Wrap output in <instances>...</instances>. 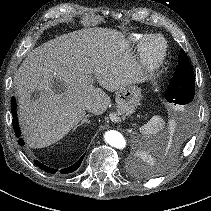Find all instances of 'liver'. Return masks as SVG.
I'll use <instances>...</instances> for the list:
<instances>
[{"label":"liver","instance_id":"obj_1","mask_svg":"<svg viewBox=\"0 0 211 211\" xmlns=\"http://www.w3.org/2000/svg\"><path fill=\"white\" fill-rule=\"evenodd\" d=\"M62 82L56 91L53 81ZM114 92L136 81V62L129 42L107 28H86L63 34L32 50L14 76L19 122L31 148L62 139L86 114L105 112ZM34 93L37 99H32Z\"/></svg>","mask_w":211,"mask_h":211}]
</instances>
